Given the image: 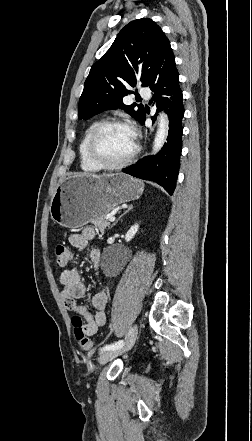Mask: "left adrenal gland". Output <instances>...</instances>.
Listing matches in <instances>:
<instances>
[{
	"label": "left adrenal gland",
	"mask_w": 252,
	"mask_h": 441,
	"mask_svg": "<svg viewBox=\"0 0 252 441\" xmlns=\"http://www.w3.org/2000/svg\"><path fill=\"white\" fill-rule=\"evenodd\" d=\"M133 209V205H130L129 207H128V209L122 214V215H120L119 216V218L116 220V222L115 223H113V225L110 227V228H112L113 226H115V224H117V222L124 216V215H126L130 210H132Z\"/></svg>",
	"instance_id": "obj_1"
}]
</instances>
